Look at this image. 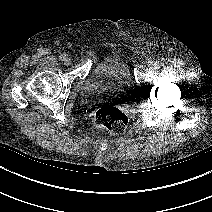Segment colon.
<instances>
[{
	"instance_id": "colon-1",
	"label": "colon",
	"mask_w": 212,
	"mask_h": 212,
	"mask_svg": "<svg viewBox=\"0 0 212 212\" xmlns=\"http://www.w3.org/2000/svg\"><path fill=\"white\" fill-rule=\"evenodd\" d=\"M93 123L97 128L117 134L123 132L127 127L128 117L115 107L105 106L95 113Z\"/></svg>"
}]
</instances>
